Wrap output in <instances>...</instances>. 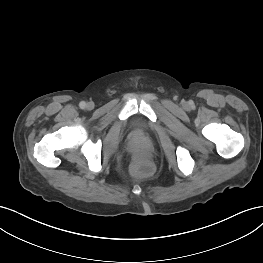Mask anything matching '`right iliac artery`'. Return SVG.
<instances>
[{
    "mask_svg": "<svg viewBox=\"0 0 263 263\" xmlns=\"http://www.w3.org/2000/svg\"><path fill=\"white\" fill-rule=\"evenodd\" d=\"M80 108L84 109L86 107V103L84 101L80 102Z\"/></svg>",
    "mask_w": 263,
    "mask_h": 263,
    "instance_id": "1",
    "label": "right iliac artery"
}]
</instances>
